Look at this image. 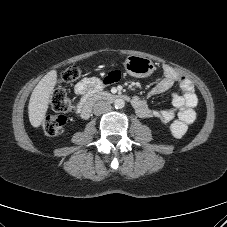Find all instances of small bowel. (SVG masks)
I'll return each instance as SVG.
<instances>
[{"label":"small bowel","instance_id":"obj_1","mask_svg":"<svg viewBox=\"0 0 227 227\" xmlns=\"http://www.w3.org/2000/svg\"><path fill=\"white\" fill-rule=\"evenodd\" d=\"M163 72V78L151 88L148 94L164 93L177 83L181 93L173 95L172 106L165 110H153L147 105L144 97L141 96L134 97L132 104L136 114L141 118H156L164 123L170 122L172 136L179 139L186 133L188 125L196 118L194 108L197 106L198 98L192 82L187 77L178 74L170 66H164ZM119 77V72L114 71L103 81L93 77L80 81L74 89L75 94L81 97L79 105L81 106L88 95L99 91L105 85L117 81Z\"/></svg>","mask_w":227,"mask_h":227}]
</instances>
